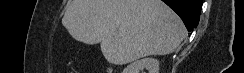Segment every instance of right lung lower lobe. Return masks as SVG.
<instances>
[{
	"instance_id": "right-lung-lower-lobe-1",
	"label": "right lung lower lobe",
	"mask_w": 244,
	"mask_h": 73,
	"mask_svg": "<svg viewBox=\"0 0 244 73\" xmlns=\"http://www.w3.org/2000/svg\"><path fill=\"white\" fill-rule=\"evenodd\" d=\"M170 8H172L183 20L189 32H192L197 27L202 0H162Z\"/></svg>"
}]
</instances>
